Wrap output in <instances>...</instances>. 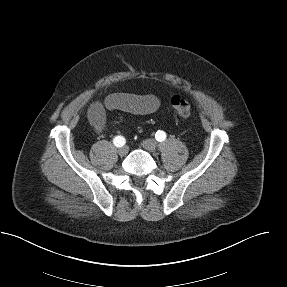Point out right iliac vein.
<instances>
[{
	"instance_id": "63e3f726",
	"label": "right iliac vein",
	"mask_w": 287,
	"mask_h": 287,
	"mask_svg": "<svg viewBox=\"0 0 287 287\" xmlns=\"http://www.w3.org/2000/svg\"><path fill=\"white\" fill-rule=\"evenodd\" d=\"M128 147L127 146H123V147H120L119 149H118V154L120 155V156H125L127 153H128Z\"/></svg>"
}]
</instances>
